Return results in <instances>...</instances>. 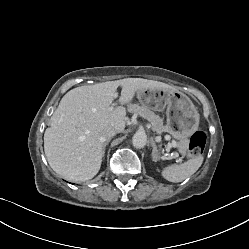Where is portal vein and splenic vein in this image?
I'll return each instance as SVG.
<instances>
[{"label": "portal vein and splenic vein", "instance_id": "1", "mask_svg": "<svg viewBox=\"0 0 249 249\" xmlns=\"http://www.w3.org/2000/svg\"><path fill=\"white\" fill-rule=\"evenodd\" d=\"M116 96H117V95H116ZM111 109H113V107H112ZM171 147H173V148H176V147H177L176 141H172ZM174 155H175V156H178V153H175Z\"/></svg>", "mask_w": 249, "mask_h": 249}]
</instances>
